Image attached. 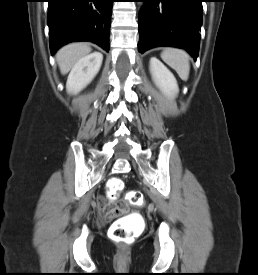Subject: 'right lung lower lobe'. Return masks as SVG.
<instances>
[{
    "label": "right lung lower lobe",
    "mask_w": 258,
    "mask_h": 275,
    "mask_svg": "<svg viewBox=\"0 0 258 275\" xmlns=\"http://www.w3.org/2000/svg\"><path fill=\"white\" fill-rule=\"evenodd\" d=\"M50 49L54 54L73 41H91L109 51L113 0H48Z\"/></svg>",
    "instance_id": "98d812e1"
}]
</instances>
